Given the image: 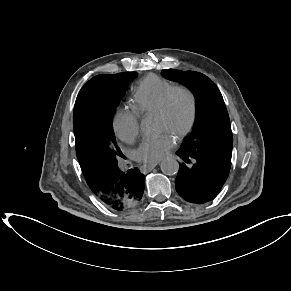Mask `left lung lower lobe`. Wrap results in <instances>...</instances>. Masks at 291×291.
<instances>
[{"label": "left lung lower lobe", "mask_w": 291, "mask_h": 291, "mask_svg": "<svg viewBox=\"0 0 291 291\" xmlns=\"http://www.w3.org/2000/svg\"><path fill=\"white\" fill-rule=\"evenodd\" d=\"M177 155L188 163L193 159V165H179L175 179L177 193L186 201L194 204H203L213 200L225 183L230 166H226L213 159L196 155H189L181 150Z\"/></svg>", "instance_id": "1"}]
</instances>
